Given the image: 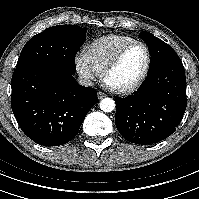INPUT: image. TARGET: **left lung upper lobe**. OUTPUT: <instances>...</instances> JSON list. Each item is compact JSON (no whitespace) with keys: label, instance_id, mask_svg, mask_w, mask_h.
Wrapping results in <instances>:
<instances>
[{"label":"left lung upper lobe","instance_id":"obj_1","mask_svg":"<svg viewBox=\"0 0 199 199\" xmlns=\"http://www.w3.org/2000/svg\"><path fill=\"white\" fill-rule=\"evenodd\" d=\"M140 37L147 43L151 53L150 71L170 59L178 58V55L171 46L151 33L143 31Z\"/></svg>","mask_w":199,"mask_h":199}]
</instances>
